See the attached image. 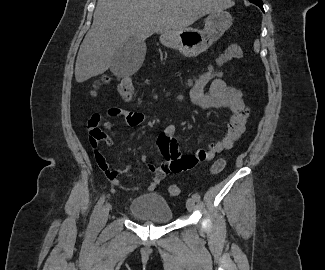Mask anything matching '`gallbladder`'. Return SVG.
<instances>
[{
	"label": "gallbladder",
	"instance_id": "gallbladder-1",
	"mask_svg": "<svg viewBox=\"0 0 325 270\" xmlns=\"http://www.w3.org/2000/svg\"><path fill=\"white\" fill-rule=\"evenodd\" d=\"M145 54V42L136 37H130L116 50L110 70L118 77L131 76L141 67Z\"/></svg>",
	"mask_w": 325,
	"mask_h": 270
}]
</instances>
